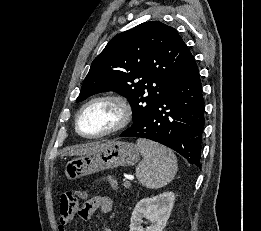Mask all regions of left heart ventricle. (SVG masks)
I'll list each match as a JSON object with an SVG mask.
<instances>
[{"label": "left heart ventricle", "mask_w": 261, "mask_h": 231, "mask_svg": "<svg viewBox=\"0 0 261 231\" xmlns=\"http://www.w3.org/2000/svg\"><path fill=\"white\" fill-rule=\"evenodd\" d=\"M120 118L121 112L116 104L110 101H100L84 110L79 125L84 134L93 135L114 127Z\"/></svg>", "instance_id": "left-heart-ventricle-1"}]
</instances>
